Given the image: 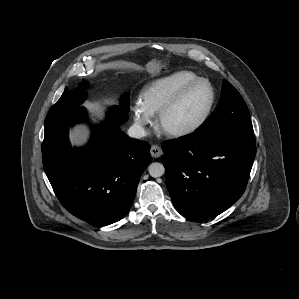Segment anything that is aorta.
<instances>
[{
	"label": "aorta",
	"mask_w": 299,
	"mask_h": 299,
	"mask_svg": "<svg viewBox=\"0 0 299 299\" xmlns=\"http://www.w3.org/2000/svg\"><path fill=\"white\" fill-rule=\"evenodd\" d=\"M148 171L150 176L157 178V177H161L165 173V168L163 164L159 162H153L149 165Z\"/></svg>",
	"instance_id": "aorta-1"
}]
</instances>
